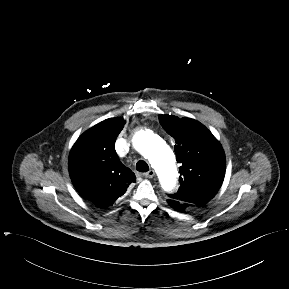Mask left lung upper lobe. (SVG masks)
Returning a JSON list of instances; mask_svg holds the SVG:
<instances>
[{
  "label": "left lung upper lobe",
  "mask_w": 289,
  "mask_h": 289,
  "mask_svg": "<svg viewBox=\"0 0 289 289\" xmlns=\"http://www.w3.org/2000/svg\"><path fill=\"white\" fill-rule=\"evenodd\" d=\"M164 130L175 139L180 188L172 199L204 206L219 190L225 175L222 146L200 122L173 115H160Z\"/></svg>",
  "instance_id": "left-lung-upper-lobe-1"
}]
</instances>
